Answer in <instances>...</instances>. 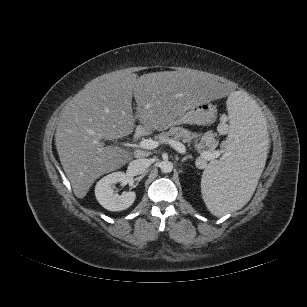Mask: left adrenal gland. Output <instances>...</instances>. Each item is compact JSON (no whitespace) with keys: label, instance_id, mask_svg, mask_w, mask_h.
<instances>
[{"label":"left adrenal gland","instance_id":"1","mask_svg":"<svg viewBox=\"0 0 307 307\" xmlns=\"http://www.w3.org/2000/svg\"><path fill=\"white\" fill-rule=\"evenodd\" d=\"M188 159H192V156H190V155L185 156V157L181 160V162L184 163V162H185L186 160H188Z\"/></svg>","mask_w":307,"mask_h":307}]
</instances>
